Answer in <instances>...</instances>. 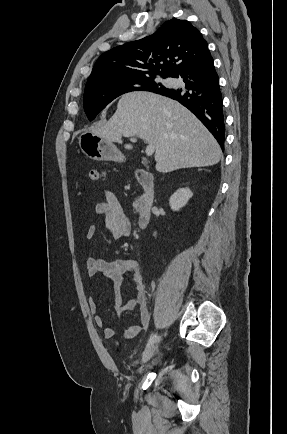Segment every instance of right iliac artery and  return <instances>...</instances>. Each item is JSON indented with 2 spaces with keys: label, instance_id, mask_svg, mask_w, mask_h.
Wrapping results in <instances>:
<instances>
[{
  "label": "right iliac artery",
  "instance_id": "right-iliac-artery-1",
  "mask_svg": "<svg viewBox=\"0 0 287 434\" xmlns=\"http://www.w3.org/2000/svg\"><path fill=\"white\" fill-rule=\"evenodd\" d=\"M157 333H153L148 341L147 347H149L150 345H152L155 341H157Z\"/></svg>",
  "mask_w": 287,
  "mask_h": 434
}]
</instances>
